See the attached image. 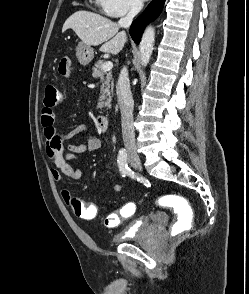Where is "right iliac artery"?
<instances>
[{"label": "right iliac artery", "instance_id": "1", "mask_svg": "<svg viewBox=\"0 0 249 294\" xmlns=\"http://www.w3.org/2000/svg\"><path fill=\"white\" fill-rule=\"evenodd\" d=\"M118 167L123 177L133 174L134 172L128 166L127 152L125 149H120L117 157Z\"/></svg>", "mask_w": 249, "mask_h": 294}]
</instances>
